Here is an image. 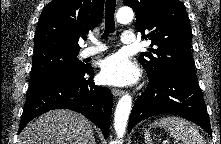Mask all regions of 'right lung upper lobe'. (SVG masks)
<instances>
[{
	"mask_svg": "<svg viewBox=\"0 0 221 144\" xmlns=\"http://www.w3.org/2000/svg\"><path fill=\"white\" fill-rule=\"evenodd\" d=\"M104 0H53L41 14L34 53L47 50L79 52V38L101 21Z\"/></svg>",
	"mask_w": 221,
	"mask_h": 144,
	"instance_id": "obj_1",
	"label": "right lung upper lobe"
}]
</instances>
